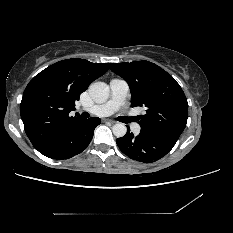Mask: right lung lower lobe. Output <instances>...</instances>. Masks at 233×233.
<instances>
[{
    "label": "right lung lower lobe",
    "instance_id": "obj_1",
    "mask_svg": "<svg viewBox=\"0 0 233 233\" xmlns=\"http://www.w3.org/2000/svg\"><path fill=\"white\" fill-rule=\"evenodd\" d=\"M101 123L100 118H82L60 130L50 139L34 146L41 154L51 159H69L87 148L94 129Z\"/></svg>",
    "mask_w": 233,
    "mask_h": 233
}]
</instances>
